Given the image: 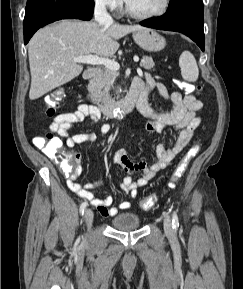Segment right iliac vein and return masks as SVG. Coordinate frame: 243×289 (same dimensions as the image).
<instances>
[{
  "instance_id": "1",
  "label": "right iliac vein",
  "mask_w": 243,
  "mask_h": 289,
  "mask_svg": "<svg viewBox=\"0 0 243 289\" xmlns=\"http://www.w3.org/2000/svg\"><path fill=\"white\" fill-rule=\"evenodd\" d=\"M93 212L91 209H87L85 211V215H84V219H85V222H86V225H87V228L88 230L91 228L92 226V222H93Z\"/></svg>"
}]
</instances>
